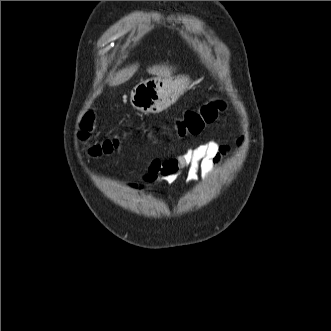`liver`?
Segmentation results:
<instances>
[{
  "label": "liver",
  "instance_id": "obj_1",
  "mask_svg": "<svg viewBox=\"0 0 331 331\" xmlns=\"http://www.w3.org/2000/svg\"><path fill=\"white\" fill-rule=\"evenodd\" d=\"M139 64H133L131 66H128L126 68H123L122 70H119L115 76L109 77V85L110 86H118L120 84L125 83L128 81L138 70ZM149 74L156 75L158 77L162 78H172V74L174 69L168 65H154L152 67H149L147 69Z\"/></svg>",
  "mask_w": 331,
  "mask_h": 331
}]
</instances>
